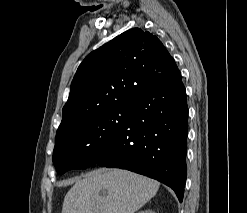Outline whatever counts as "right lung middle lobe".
Segmentation results:
<instances>
[{"label": "right lung middle lobe", "instance_id": "1", "mask_svg": "<svg viewBox=\"0 0 247 213\" xmlns=\"http://www.w3.org/2000/svg\"><path fill=\"white\" fill-rule=\"evenodd\" d=\"M131 113L130 101H123L57 136L53 152V164L57 173L62 175L71 169L94 165Z\"/></svg>", "mask_w": 247, "mask_h": 213}]
</instances>
